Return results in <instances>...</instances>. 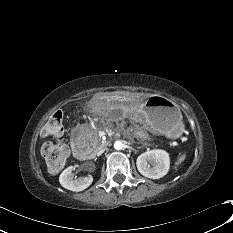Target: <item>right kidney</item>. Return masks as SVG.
Returning a JSON list of instances; mask_svg holds the SVG:
<instances>
[{"label":"right kidney","instance_id":"right-kidney-1","mask_svg":"<svg viewBox=\"0 0 233 233\" xmlns=\"http://www.w3.org/2000/svg\"><path fill=\"white\" fill-rule=\"evenodd\" d=\"M73 170L74 167L69 166L60 174L59 182L64 188L71 191L79 192L85 190L92 184L93 182L92 176L73 179L74 177L72 173Z\"/></svg>","mask_w":233,"mask_h":233}]
</instances>
